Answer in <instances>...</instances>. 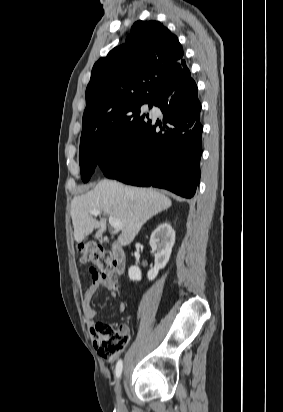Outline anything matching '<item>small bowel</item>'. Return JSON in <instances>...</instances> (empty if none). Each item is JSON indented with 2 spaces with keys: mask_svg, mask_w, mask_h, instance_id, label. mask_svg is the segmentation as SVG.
<instances>
[{
  "mask_svg": "<svg viewBox=\"0 0 283 412\" xmlns=\"http://www.w3.org/2000/svg\"><path fill=\"white\" fill-rule=\"evenodd\" d=\"M106 287L110 291V295L112 298H117V292L115 290V284L109 280L100 279L92 276V282L90 286L85 291L83 298H82V310L85 318L86 325L90 332L93 334V327L95 324L96 319V311L92 307V300L96 294V292L101 287ZM118 312L122 313L125 310V303L120 301L117 305ZM125 331H128V327L126 325L121 326ZM114 358H111L110 361H113Z\"/></svg>",
  "mask_w": 283,
  "mask_h": 412,
  "instance_id": "small-bowel-1",
  "label": "small bowel"
}]
</instances>
